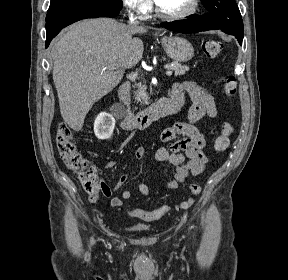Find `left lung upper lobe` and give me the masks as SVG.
<instances>
[{"mask_svg":"<svg viewBox=\"0 0 288 280\" xmlns=\"http://www.w3.org/2000/svg\"><path fill=\"white\" fill-rule=\"evenodd\" d=\"M208 10L204 16L220 28L243 37V21L235 0H201Z\"/></svg>","mask_w":288,"mask_h":280,"instance_id":"left-lung-upper-lobe-1","label":"left lung upper lobe"}]
</instances>
